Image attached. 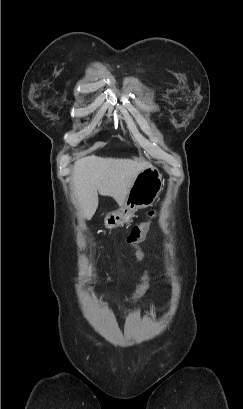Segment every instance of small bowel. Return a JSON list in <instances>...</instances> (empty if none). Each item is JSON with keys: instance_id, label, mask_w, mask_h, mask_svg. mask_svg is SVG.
Segmentation results:
<instances>
[{"instance_id": "c3829d8e", "label": "small bowel", "mask_w": 243, "mask_h": 409, "mask_svg": "<svg viewBox=\"0 0 243 409\" xmlns=\"http://www.w3.org/2000/svg\"><path fill=\"white\" fill-rule=\"evenodd\" d=\"M107 261H109V262L111 261V259H110V257H109V256H107ZM142 287H144V288H145V287H146V284L144 283V284L142 285Z\"/></svg>"}]
</instances>
